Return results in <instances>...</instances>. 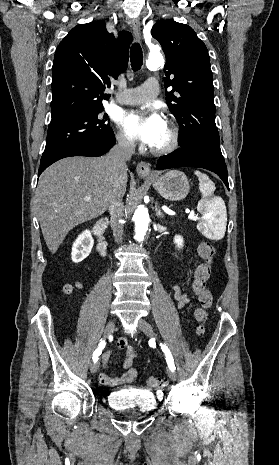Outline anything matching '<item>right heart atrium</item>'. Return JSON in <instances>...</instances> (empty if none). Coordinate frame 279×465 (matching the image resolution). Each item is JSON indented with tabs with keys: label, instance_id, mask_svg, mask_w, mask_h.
Here are the masks:
<instances>
[{
	"label": "right heart atrium",
	"instance_id": "obj_1",
	"mask_svg": "<svg viewBox=\"0 0 279 465\" xmlns=\"http://www.w3.org/2000/svg\"><path fill=\"white\" fill-rule=\"evenodd\" d=\"M116 137H117V142L120 147L126 150H130L134 147L133 140L128 135H126L123 131H119Z\"/></svg>",
	"mask_w": 279,
	"mask_h": 465
}]
</instances>
